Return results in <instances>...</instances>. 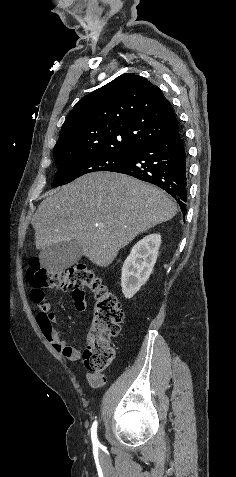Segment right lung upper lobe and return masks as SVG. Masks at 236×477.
Returning <instances> with one entry per match:
<instances>
[{
	"mask_svg": "<svg viewBox=\"0 0 236 477\" xmlns=\"http://www.w3.org/2000/svg\"><path fill=\"white\" fill-rule=\"evenodd\" d=\"M177 127L173 108L161 90L126 73L74 106L62 126L54 158L87 153L130 156Z\"/></svg>",
	"mask_w": 236,
	"mask_h": 477,
	"instance_id": "1",
	"label": "right lung upper lobe"
}]
</instances>
